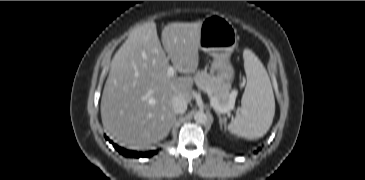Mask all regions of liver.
<instances>
[{
  "label": "liver",
  "instance_id": "liver-1",
  "mask_svg": "<svg viewBox=\"0 0 365 180\" xmlns=\"http://www.w3.org/2000/svg\"><path fill=\"white\" fill-rule=\"evenodd\" d=\"M201 22L168 24L163 47L154 22L131 30L112 59L101 99L102 123L111 138L139 148L169 134L176 118L173 97L192 100L190 74L199 65ZM169 61L187 76L168 77Z\"/></svg>",
  "mask_w": 365,
  "mask_h": 180
}]
</instances>
